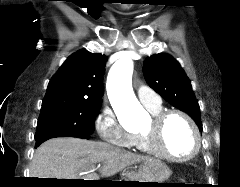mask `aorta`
Returning a JSON list of instances; mask_svg holds the SVG:
<instances>
[{"mask_svg": "<svg viewBox=\"0 0 240 187\" xmlns=\"http://www.w3.org/2000/svg\"><path fill=\"white\" fill-rule=\"evenodd\" d=\"M133 61L129 57L119 59L111 67L106 83L109 101L120 121L129 118L139 122L147 117L132 89Z\"/></svg>", "mask_w": 240, "mask_h": 187, "instance_id": "aorta-1", "label": "aorta"}]
</instances>
